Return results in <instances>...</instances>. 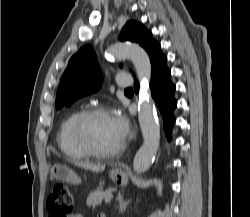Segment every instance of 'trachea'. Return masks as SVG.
Here are the masks:
<instances>
[{
    "label": "trachea",
    "instance_id": "obj_1",
    "mask_svg": "<svg viewBox=\"0 0 250 217\" xmlns=\"http://www.w3.org/2000/svg\"><path fill=\"white\" fill-rule=\"evenodd\" d=\"M125 91H132V88H127Z\"/></svg>",
    "mask_w": 250,
    "mask_h": 217
}]
</instances>
